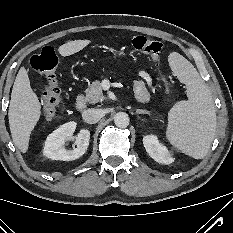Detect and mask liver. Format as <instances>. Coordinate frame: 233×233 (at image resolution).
I'll return each instance as SVG.
<instances>
[{
  "mask_svg": "<svg viewBox=\"0 0 233 233\" xmlns=\"http://www.w3.org/2000/svg\"><path fill=\"white\" fill-rule=\"evenodd\" d=\"M90 40L69 41L58 49L61 56H70L90 44ZM41 116V104L30 85L28 71L21 67L14 81L8 112L9 126L15 146L26 153L30 135Z\"/></svg>",
  "mask_w": 233,
  "mask_h": 233,
  "instance_id": "liver-1",
  "label": "liver"
}]
</instances>
